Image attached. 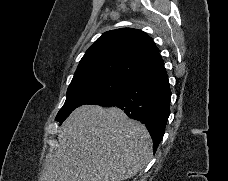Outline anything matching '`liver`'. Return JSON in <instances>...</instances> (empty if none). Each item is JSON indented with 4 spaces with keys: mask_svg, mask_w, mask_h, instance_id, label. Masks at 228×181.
I'll list each match as a JSON object with an SVG mask.
<instances>
[{
    "mask_svg": "<svg viewBox=\"0 0 228 181\" xmlns=\"http://www.w3.org/2000/svg\"><path fill=\"white\" fill-rule=\"evenodd\" d=\"M59 147L41 181H127L152 157L153 141L144 125L121 109L82 105L58 131Z\"/></svg>",
    "mask_w": 228,
    "mask_h": 181,
    "instance_id": "6515ba94",
    "label": "liver"
}]
</instances>
